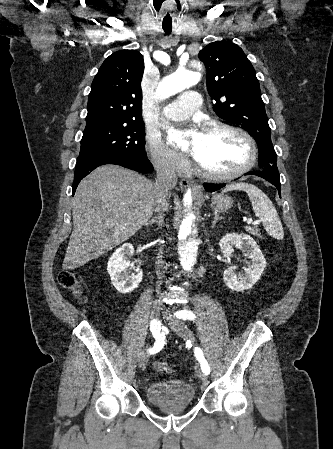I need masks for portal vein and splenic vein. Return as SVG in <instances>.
I'll list each match as a JSON object with an SVG mask.
<instances>
[{"instance_id":"portal-vein-and-splenic-vein-1","label":"portal vein and splenic vein","mask_w":333,"mask_h":449,"mask_svg":"<svg viewBox=\"0 0 333 449\" xmlns=\"http://www.w3.org/2000/svg\"><path fill=\"white\" fill-rule=\"evenodd\" d=\"M247 224H248V225H255V223L253 222L252 219H248V220H247ZM257 224H259V223H257Z\"/></svg>"}]
</instances>
